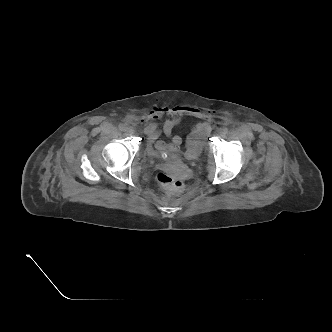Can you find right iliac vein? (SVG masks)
<instances>
[{
    "mask_svg": "<svg viewBox=\"0 0 332 332\" xmlns=\"http://www.w3.org/2000/svg\"><path fill=\"white\" fill-rule=\"evenodd\" d=\"M125 131H126L128 134H132V133H133V129L130 128V127L126 128Z\"/></svg>",
    "mask_w": 332,
    "mask_h": 332,
    "instance_id": "right-iliac-vein-1",
    "label": "right iliac vein"
}]
</instances>
